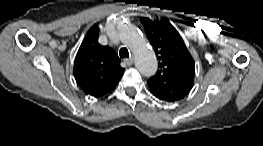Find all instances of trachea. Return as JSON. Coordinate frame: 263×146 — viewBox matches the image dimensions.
I'll return each mask as SVG.
<instances>
[{"mask_svg": "<svg viewBox=\"0 0 263 146\" xmlns=\"http://www.w3.org/2000/svg\"><path fill=\"white\" fill-rule=\"evenodd\" d=\"M119 55L121 58L129 57V52L126 48H121L119 50Z\"/></svg>", "mask_w": 263, "mask_h": 146, "instance_id": "trachea-1", "label": "trachea"}]
</instances>
